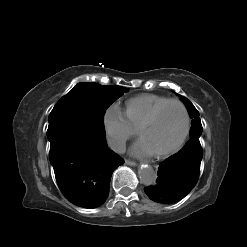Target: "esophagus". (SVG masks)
Instances as JSON below:
<instances>
[{"label": "esophagus", "instance_id": "esophagus-1", "mask_svg": "<svg viewBox=\"0 0 247 247\" xmlns=\"http://www.w3.org/2000/svg\"><path fill=\"white\" fill-rule=\"evenodd\" d=\"M125 164L129 165V166H136V162L131 161V160H125Z\"/></svg>", "mask_w": 247, "mask_h": 247}]
</instances>
